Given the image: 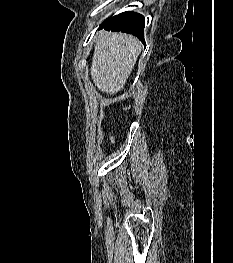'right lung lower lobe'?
Returning <instances> with one entry per match:
<instances>
[{"instance_id": "right-lung-lower-lobe-1", "label": "right lung lower lobe", "mask_w": 233, "mask_h": 263, "mask_svg": "<svg viewBox=\"0 0 233 263\" xmlns=\"http://www.w3.org/2000/svg\"><path fill=\"white\" fill-rule=\"evenodd\" d=\"M108 31H121L133 34L144 42V17L135 12H123L118 14L109 22L100 25L99 29Z\"/></svg>"}]
</instances>
